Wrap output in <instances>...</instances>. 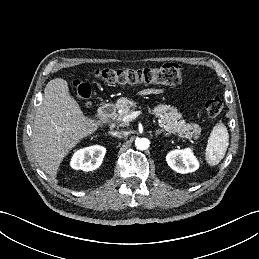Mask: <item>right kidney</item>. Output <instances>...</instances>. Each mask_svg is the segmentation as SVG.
Here are the masks:
<instances>
[{
  "instance_id": "ca27d5eb",
  "label": "right kidney",
  "mask_w": 259,
  "mask_h": 259,
  "mask_svg": "<svg viewBox=\"0 0 259 259\" xmlns=\"http://www.w3.org/2000/svg\"><path fill=\"white\" fill-rule=\"evenodd\" d=\"M105 153L106 149L100 145L77 150L72 156L70 165L75 170L93 171L101 165Z\"/></svg>"
}]
</instances>
